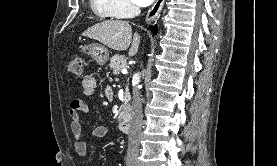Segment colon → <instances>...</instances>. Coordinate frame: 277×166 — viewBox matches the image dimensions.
Instances as JSON below:
<instances>
[{
	"label": "colon",
	"mask_w": 277,
	"mask_h": 166,
	"mask_svg": "<svg viewBox=\"0 0 277 166\" xmlns=\"http://www.w3.org/2000/svg\"><path fill=\"white\" fill-rule=\"evenodd\" d=\"M67 71L73 75L80 76L83 73L82 58L78 55L71 57L67 64Z\"/></svg>",
	"instance_id": "1"
}]
</instances>
